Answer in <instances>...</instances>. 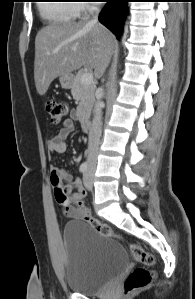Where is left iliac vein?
<instances>
[{
  "instance_id": "left-iliac-vein-1",
  "label": "left iliac vein",
  "mask_w": 195,
  "mask_h": 299,
  "mask_svg": "<svg viewBox=\"0 0 195 299\" xmlns=\"http://www.w3.org/2000/svg\"><path fill=\"white\" fill-rule=\"evenodd\" d=\"M84 185L88 190L93 188V175H92V168H90L83 177Z\"/></svg>"
}]
</instances>
